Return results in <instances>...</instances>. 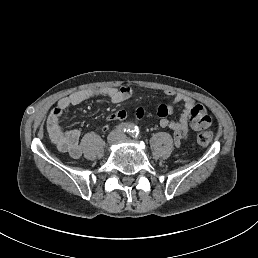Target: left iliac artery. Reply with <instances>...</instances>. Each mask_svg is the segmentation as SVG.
<instances>
[{
    "label": "left iliac artery",
    "instance_id": "left-iliac-artery-1",
    "mask_svg": "<svg viewBox=\"0 0 258 258\" xmlns=\"http://www.w3.org/2000/svg\"><path fill=\"white\" fill-rule=\"evenodd\" d=\"M130 136L133 137L134 139H137L140 135V129L138 126L133 125L131 131H130Z\"/></svg>",
    "mask_w": 258,
    "mask_h": 258
}]
</instances>
